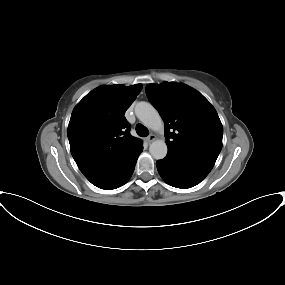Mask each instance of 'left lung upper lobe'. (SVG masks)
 Here are the masks:
<instances>
[{
  "label": "left lung upper lobe",
  "instance_id": "1",
  "mask_svg": "<svg viewBox=\"0 0 285 285\" xmlns=\"http://www.w3.org/2000/svg\"><path fill=\"white\" fill-rule=\"evenodd\" d=\"M146 94L164 120L168 151L214 165L222 149L223 126L208 100L173 82L149 84Z\"/></svg>",
  "mask_w": 285,
  "mask_h": 285
}]
</instances>
